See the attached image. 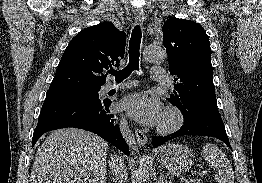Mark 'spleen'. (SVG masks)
I'll list each match as a JSON object with an SVG mask.
<instances>
[{
    "instance_id": "obj_1",
    "label": "spleen",
    "mask_w": 262,
    "mask_h": 183,
    "mask_svg": "<svg viewBox=\"0 0 262 183\" xmlns=\"http://www.w3.org/2000/svg\"><path fill=\"white\" fill-rule=\"evenodd\" d=\"M202 157L215 169L214 179L217 183H234V172L229 160L216 145L212 143L204 144Z\"/></svg>"
}]
</instances>
